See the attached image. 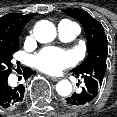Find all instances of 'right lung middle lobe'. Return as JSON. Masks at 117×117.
<instances>
[{
  "label": "right lung middle lobe",
  "instance_id": "dd1d6c3e",
  "mask_svg": "<svg viewBox=\"0 0 117 117\" xmlns=\"http://www.w3.org/2000/svg\"><path fill=\"white\" fill-rule=\"evenodd\" d=\"M18 43H0V75L9 74L12 71V55L18 51Z\"/></svg>",
  "mask_w": 117,
  "mask_h": 117
}]
</instances>
